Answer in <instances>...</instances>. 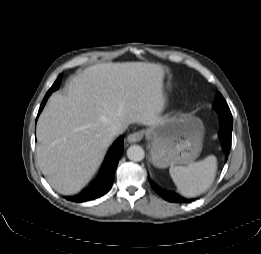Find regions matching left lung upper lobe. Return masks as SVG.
<instances>
[{
    "label": "left lung upper lobe",
    "instance_id": "left-lung-upper-lobe-1",
    "mask_svg": "<svg viewBox=\"0 0 261 254\" xmlns=\"http://www.w3.org/2000/svg\"><path fill=\"white\" fill-rule=\"evenodd\" d=\"M217 100L214 104V109L217 111L218 114H224L231 116L230 109L224 100L223 96L220 93H217Z\"/></svg>",
    "mask_w": 261,
    "mask_h": 254
}]
</instances>
